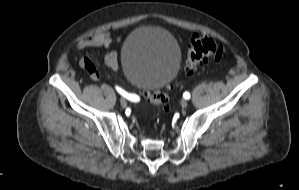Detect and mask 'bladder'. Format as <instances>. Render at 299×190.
<instances>
[{"instance_id":"bladder-1","label":"bladder","mask_w":299,"mask_h":190,"mask_svg":"<svg viewBox=\"0 0 299 190\" xmlns=\"http://www.w3.org/2000/svg\"><path fill=\"white\" fill-rule=\"evenodd\" d=\"M120 61L124 75L132 84L160 90L176 77L181 52L168 31L141 27L125 40Z\"/></svg>"}]
</instances>
